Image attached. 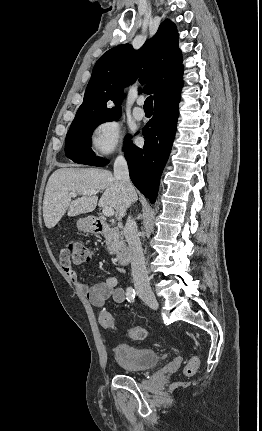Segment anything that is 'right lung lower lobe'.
I'll return each instance as SVG.
<instances>
[{"label":"right lung lower lobe","mask_w":262,"mask_h":431,"mask_svg":"<svg viewBox=\"0 0 262 431\" xmlns=\"http://www.w3.org/2000/svg\"><path fill=\"white\" fill-rule=\"evenodd\" d=\"M179 101L180 92L155 103L154 115L142 130L145 138L143 148L135 146L131 141L125 144L130 178L151 203L157 197L160 176L171 151Z\"/></svg>","instance_id":"right-lung-lower-lobe-1"}]
</instances>
